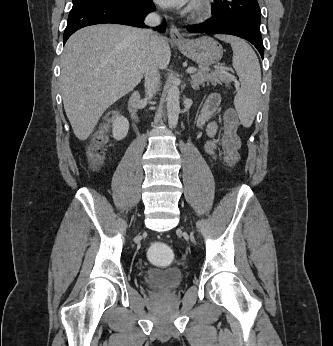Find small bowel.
Returning a JSON list of instances; mask_svg holds the SVG:
<instances>
[{
  "label": "small bowel",
  "instance_id": "c3829d8e",
  "mask_svg": "<svg viewBox=\"0 0 333 346\" xmlns=\"http://www.w3.org/2000/svg\"><path fill=\"white\" fill-rule=\"evenodd\" d=\"M220 104V96L216 93L211 94L204 102L202 109L200 111L199 117H198V124L202 125L206 121H208L213 114L217 111ZM217 124L214 121H209L206 125V133L208 136V140L204 144V150L205 153L211 157L215 158L216 156V142L214 140V137L217 132Z\"/></svg>",
  "mask_w": 333,
  "mask_h": 346
}]
</instances>
